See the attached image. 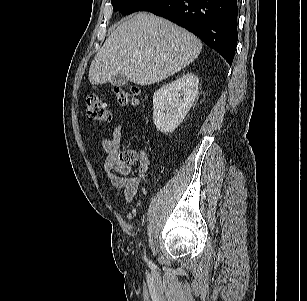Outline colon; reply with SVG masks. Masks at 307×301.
Wrapping results in <instances>:
<instances>
[{
  "label": "colon",
  "instance_id": "1",
  "mask_svg": "<svg viewBox=\"0 0 307 301\" xmlns=\"http://www.w3.org/2000/svg\"><path fill=\"white\" fill-rule=\"evenodd\" d=\"M137 89L125 91L117 89L114 91V101L119 106L136 105L138 103ZM86 113L96 121L108 122L111 119V112L102 98L96 94H90L86 99ZM139 159V155L130 149L124 150L121 154V160L126 163H134Z\"/></svg>",
  "mask_w": 307,
  "mask_h": 301
}]
</instances>
